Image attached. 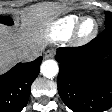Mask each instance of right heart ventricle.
Wrapping results in <instances>:
<instances>
[{"label": "right heart ventricle", "mask_w": 112, "mask_h": 112, "mask_svg": "<svg viewBox=\"0 0 112 112\" xmlns=\"http://www.w3.org/2000/svg\"><path fill=\"white\" fill-rule=\"evenodd\" d=\"M80 18V15L69 14L55 20L46 27L44 37L49 42H59L64 40L71 35Z\"/></svg>", "instance_id": "right-heart-ventricle-1"}]
</instances>
